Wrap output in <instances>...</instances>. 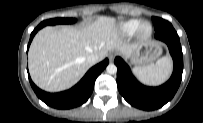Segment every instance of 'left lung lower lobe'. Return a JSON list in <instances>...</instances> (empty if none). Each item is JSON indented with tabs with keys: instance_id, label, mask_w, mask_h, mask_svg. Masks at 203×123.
Here are the masks:
<instances>
[{
	"instance_id": "obj_1",
	"label": "left lung lower lobe",
	"mask_w": 203,
	"mask_h": 123,
	"mask_svg": "<svg viewBox=\"0 0 203 123\" xmlns=\"http://www.w3.org/2000/svg\"><path fill=\"white\" fill-rule=\"evenodd\" d=\"M155 38L165 42L174 62L170 79L159 87L142 85L131 73L129 66L120 57L114 63L117 66V86L120 94L132 106L142 110H155L169 102L177 92L182 79L183 53L180 40L174 28L167 27L156 31Z\"/></svg>"
}]
</instances>
